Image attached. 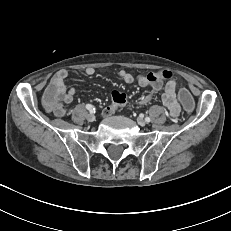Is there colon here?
<instances>
[{
	"mask_svg": "<svg viewBox=\"0 0 231 231\" xmlns=\"http://www.w3.org/2000/svg\"><path fill=\"white\" fill-rule=\"evenodd\" d=\"M160 79H170L172 72L162 71L158 73ZM59 92V87L56 84L48 83L45 86V93L43 94L42 105L45 108H50L55 105V95ZM178 103L182 110L186 113H193L196 110L195 100L193 94L186 89H179L177 92ZM127 102V96L124 92L115 90L112 92V105L115 107L124 105Z\"/></svg>",
	"mask_w": 231,
	"mask_h": 231,
	"instance_id": "1",
	"label": "colon"
}]
</instances>
